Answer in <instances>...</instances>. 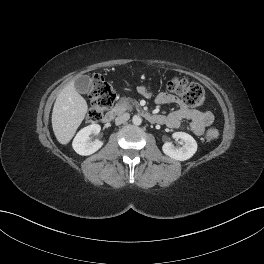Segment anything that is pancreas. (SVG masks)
<instances>
[{"label":"pancreas","instance_id":"obj_1","mask_svg":"<svg viewBox=\"0 0 264 264\" xmlns=\"http://www.w3.org/2000/svg\"><path fill=\"white\" fill-rule=\"evenodd\" d=\"M137 103L129 98H121L120 101L116 104V109L118 111H125V110H131L132 105H136Z\"/></svg>","mask_w":264,"mask_h":264}]
</instances>
